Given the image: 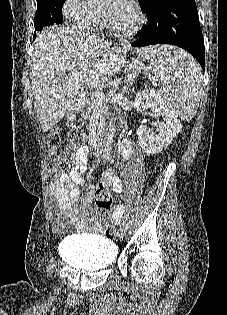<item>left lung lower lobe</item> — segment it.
Masks as SVG:
<instances>
[{"mask_svg": "<svg viewBox=\"0 0 227 315\" xmlns=\"http://www.w3.org/2000/svg\"><path fill=\"white\" fill-rule=\"evenodd\" d=\"M148 23L136 34L133 47L171 44L191 53L205 70V47L195 0H169L147 13Z\"/></svg>", "mask_w": 227, "mask_h": 315, "instance_id": "obj_1", "label": "left lung lower lobe"}]
</instances>
